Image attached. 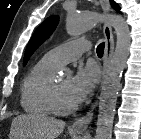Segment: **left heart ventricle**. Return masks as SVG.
<instances>
[{
	"instance_id": "1",
	"label": "left heart ventricle",
	"mask_w": 141,
	"mask_h": 139,
	"mask_svg": "<svg viewBox=\"0 0 141 139\" xmlns=\"http://www.w3.org/2000/svg\"><path fill=\"white\" fill-rule=\"evenodd\" d=\"M71 80H72V78L68 77V76L60 77L56 80V83H57V86H58V89H59L61 101L65 105L76 104L74 102V100L72 99L71 94H70Z\"/></svg>"
}]
</instances>
